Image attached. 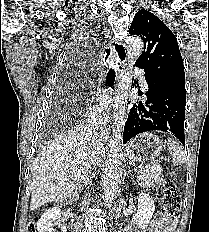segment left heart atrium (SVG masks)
Returning <instances> with one entry per match:
<instances>
[{"instance_id":"1","label":"left heart atrium","mask_w":209,"mask_h":232,"mask_svg":"<svg viewBox=\"0 0 209 232\" xmlns=\"http://www.w3.org/2000/svg\"><path fill=\"white\" fill-rule=\"evenodd\" d=\"M99 105L103 108H107L111 102L110 93L107 90H101L97 95Z\"/></svg>"}]
</instances>
